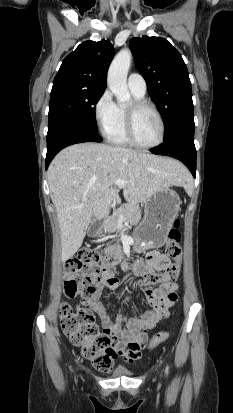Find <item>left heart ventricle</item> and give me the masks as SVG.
<instances>
[{"label":"left heart ventricle","mask_w":233,"mask_h":413,"mask_svg":"<svg viewBox=\"0 0 233 413\" xmlns=\"http://www.w3.org/2000/svg\"><path fill=\"white\" fill-rule=\"evenodd\" d=\"M160 123L151 109H142L135 119V135L145 145L156 143L160 137Z\"/></svg>","instance_id":"obj_1"}]
</instances>
